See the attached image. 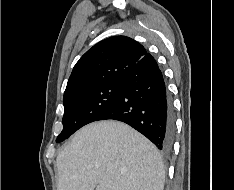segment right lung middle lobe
<instances>
[{
	"label": "right lung middle lobe",
	"mask_w": 234,
	"mask_h": 190,
	"mask_svg": "<svg viewBox=\"0 0 234 190\" xmlns=\"http://www.w3.org/2000/svg\"><path fill=\"white\" fill-rule=\"evenodd\" d=\"M121 80L77 92L63 100V130L56 139L62 142L84 125L97 121L117 99Z\"/></svg>",
	"instance_id": "dd1d6c3e"
}]
</instances>
